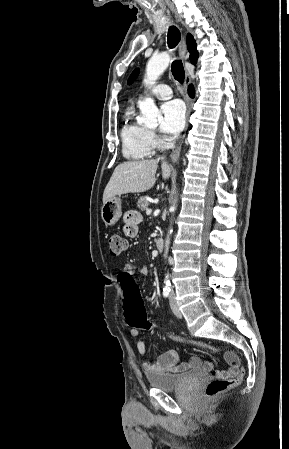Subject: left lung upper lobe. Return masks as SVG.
I'll return each mask as SVG.
<instances>
[{
	"instance_id": "left-lung-upper-lobe-1",
	"label": "left lung upper lobe",
	"mask_w": 289,
	"mask_h": 449,
	"mask_svg": "<svg viewBox=\"0 0 289 449\" xmlns=\"http://www.w3.org/2000/svg\"><path fill=\"white\" fill-rule=\"evenodd\" d=\"M138 75V69L134 70L133 73L130 75L129 79H128V84H131L133 82V80L137 77Z\"/></svg>"
}]
</instances>
